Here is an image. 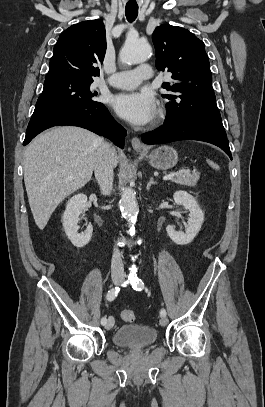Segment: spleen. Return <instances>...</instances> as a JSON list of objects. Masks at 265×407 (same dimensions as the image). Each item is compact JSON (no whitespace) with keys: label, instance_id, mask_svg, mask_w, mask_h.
<instances>
[{"label":"spleen","instance_id":"spleen-1","mask_svg":"<svg viewBox=\"0 0 265 407\" xmlns=\"http://www.w3.org/2000/svg\"><path fill=\"white\" fill-rule=\"evenodd\" d=\"M207 162L212 168L219 170V166L216 163H214L213 161H210V160H207Z\"/></svg>","mask_w":265,"mask_h":407}]
</instances>
